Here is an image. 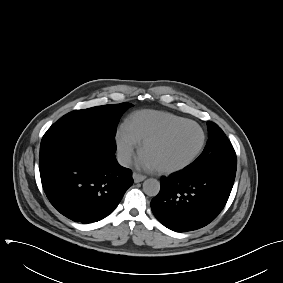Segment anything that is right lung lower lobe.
<instances>
[{"instance_id": "obj_1", "label": "right lung lower lobe", "mask_w": 283, "mask_h": 283, "mask_svg": "<svg viewBox=\"0 0 283 283\" xmlns=\"http://www.w3.org/2000/svg\"><path fill=\"white\" fill-rule=\"evenodd\" d=\"M112 137L88 135L40 151L43 189L64 216L87 224L108 216L133 184L115 158Z\"/></svg>"}]
</instances>
